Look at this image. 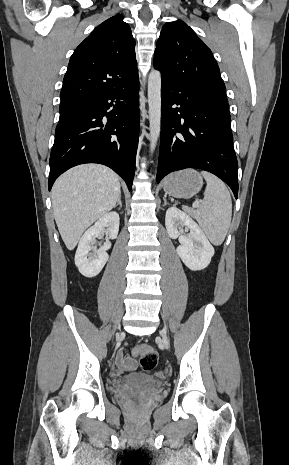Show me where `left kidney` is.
I'll use <instances>...</instances> for the list:
<instances>
[{
  "label": "left kidney",
  "mask_w": 289,
  "mask_h": 465,
  "mask_svg": "<svg viewBox=\"0 0 289 465\" xmlns=\"http://www.w3.org/2000/svg\"><path fill=\"white\" fill-rule=\"evenodd\" d=\"M168 235L178 238L176 251L182 262L192 271L205 269L214 255V248L198 224L185 212L175 206L168 208L165 216ZM185 230L190 233L185 235Z\"/></svg>",
  "instance_id": "left-kidney-1"
}]
</instances>
